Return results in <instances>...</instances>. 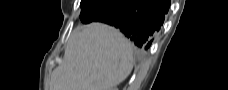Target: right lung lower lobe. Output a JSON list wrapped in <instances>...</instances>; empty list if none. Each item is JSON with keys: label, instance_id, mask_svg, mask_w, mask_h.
Returning <instances> with one entry per match:
<instances>
[{"label": "right lung lower lobe", "instance_id": "1", "mask_svg": "<svg viewBox=\"0 0 228 90\" xmlns=\"http://www.w3.org/2000/svg\"><path fill=\"white\" fill-rule=\"evenodd\" d=\"M169 7L170 0H97L82 10L80 19L83 23L98 21L118 28L144 53Z\"/></svg>", "mask_w": 228, "mask_h": 90}]
</instances>
